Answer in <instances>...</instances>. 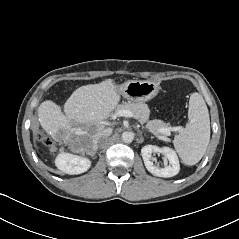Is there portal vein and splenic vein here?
Returning a JSON list of instances; mask_svg holds the SVG:
<instances>
[{
  "instance_id": "18ae733b",
  "label": "portal vein and splenic vein",
  "mask_w": 239,
  "mask_h": 239,
  "mask_svg": "<svg viewBox=\"0 0 239 239\" xmlns=\"http://www.w3.org/2000/svg\"><path fill=\"white\" fill-rule=\"evenodd\" d=\"M121 116H124V117H135V115H134L131 111H128V110H119V111L113 116V118L121 117ZM171 130H172L171 128H163V129H161V132H162V134L169 136ZM159 138L161 139L162 137H159Z\"/></svg>"
}]
</instances>
